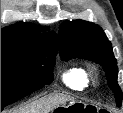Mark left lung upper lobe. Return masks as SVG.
I'll return each mask as SVG.
<instances>
[{"label": "left lung upper lobe", "mask_w": 123, "mask_h": 113, "mask_svg": "<svg viewBox=\"0 0 123 113\" xmlns=\"http://www.w3.org/2000/svg\"><path fill=\"white\" fill-rule=\"evenodd\" d=\"M59 55L62 60L84 58L100 64L106 73L108 85L120 106L122 91L117 83V62L112 45L103 30L83 20L65 21L59 30Z\"/></svg>", "instance_id": "1"}]
</instances>
